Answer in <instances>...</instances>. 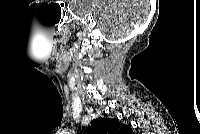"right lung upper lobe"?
Listing matches in <instances>:
<instances>
[{
	"instance_id": "1",
	"label": "right lung upper lobe",
	"mask_w": 200,
	"mask_h": 134,
	"mask_svg": "<svg viewBox=\"0 0 200 134\" xmlns=\"http://www.w3.org/2000/svg\"><path fill=\"white\" fill-rule=\"evenodd\" d=\"M131 127L121 124L116 119L98 118L92 121L85 134H130Z\"/></svg>"
}]
</instances>
